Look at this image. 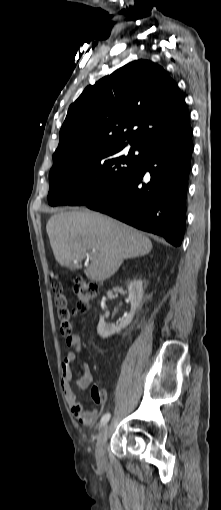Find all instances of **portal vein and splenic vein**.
<instances>
[{
    "instance_id": "portal-vein-and-splenic-vein-1",
    "label": "portal vein and splenic vein",
    "mask_w": 221,
    "mask_h": 510,
    "mask_svg": "<svg viewBox=\"0 0 221 510\" xmlns=\"http://www.w3.org/2000/svg\"><path fill=\"white\" fill-rule=\"evenodd\" d=\"M92 252H96V250H95V249H93V250H92Z\"/></svg>"
}]
</instances>
